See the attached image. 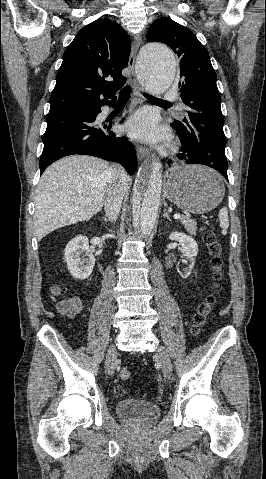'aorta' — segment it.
I'll list each match as a JSON object with an SVG mask.
<instances>
[{"mask_svg":"<svg viewBox=\"0 0 266 479\" xmlns=\"http://www.w3.org/2000/svg\"><path fill=\"white\" fill-rule=\"evenodd\" d=\"M139 64L149 92L161 94L170 87L175 77L176 61L167 46L159 43L146 44L140 51ZM161 188L162 164L153 160L148 175L143 171L139 173L133 200L135 227H139L145 236L150 235L155 226Z\"/></svg>","mask_w":266,"mask_h":479,"instance_id":"1","label":"aorta"}]
</instances>
